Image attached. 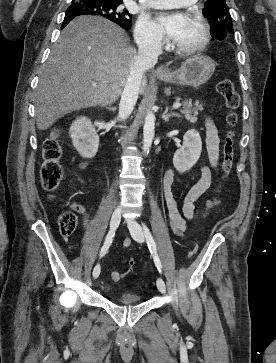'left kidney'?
Masks as SVG:
<instances>
[{
  "instance_id": "5707ae66",
  "label": "left kidney",
  "mask_w": 276,
  "mask_h": 363,
  "mask_svg": "<svg viewBox=\"0 0 276 363\" xmlns=\"http://www.w3.org/2000/svg\"><path fill=\"white\" fill-rule=\"evenodd\" d=\"M202 140L200 134L194 130H188L183 136V145L173 156V164L176 170L184 173L190 170L200 158Z\"/></svg>"
}]
</instances>
